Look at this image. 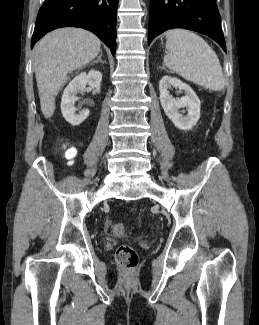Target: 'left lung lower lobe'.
Segmentation results:
<instances>
[{
    "instance_id": "left-lung-lower-lobe-1",
    "label": "left lung lower lobe",
    "mask_w": 259,
    "mask_h": 325,
    "mask_svg": "<svg viewBox=\"0 0 259 325\" xmlns=\"http://www.w3.org/2000/svg\"><path fill=\"white\" fill-rule=\"evenodd\" d=\"M173 28L203 33L226 51L215 0H150L148 42Z\"/></svg>"
}]
</instances>
